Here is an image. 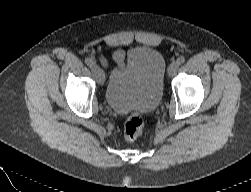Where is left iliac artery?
Here are the masks:
<instances>
[{"instance_id":"obj_1","label":"left iliac artery","mask_w":251,"mask_h":192,"mask_svg":"<svg viewBox=\"0 0 251 192\" xmlns=\"http://www.w3.org/2000/svg\"><path fill=\"white\" fill-rule=\"evenodd\" d=\"M177 64L178 65H181V64H183L184 62H185V58L183 57V56H180L178 59H177Z\"/></svg>"}]
</instances>
